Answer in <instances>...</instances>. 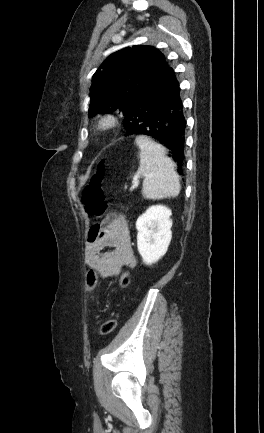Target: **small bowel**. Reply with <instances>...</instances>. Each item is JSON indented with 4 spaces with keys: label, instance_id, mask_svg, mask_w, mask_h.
Returning a JSON list of instances; mask_svg holds the SVG:
<instances>
[{
    "label": "small bowel",
    "instance_id": "c3829d8e",
    "mask_svg": "<svg viewBox=\"0 0 264 433\" xmlns=\"http://www.w3.org/2000/svg\"><path fill=\"white\" fill-rule=\"evenodd\" d=\"M84 260L102 277L117 275L123 267L135 265L130 232L121 213L112 212L89 229Z\"/></svg>",
    "mask_w": 264,
    "mask_h": 433
}]
</instances>
